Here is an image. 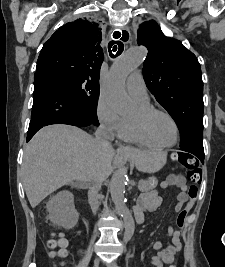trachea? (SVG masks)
Wrapping results in <instances>:
<instances>
[{
  "label": "trachea",
  "instance_id": "1",
  "mask_svg": "<svg viewBox=\"0 0 225 267\" xmlns=\"http://www.w3.org/2000/svg\"><path fill=\"white\" fill-rule=\"evenodd\" d=\"M115 35H116L115 36L116 39L121 37V33L119 31H116ZM127 39H128V33L123 32V36H122L121 40L125 41ZM123 49H124V45L121 41H113L112 40L108 44V50H109L110 56L112 58L119 56L123 52Z\"/></svg>",
  "mask_w": 225,
  "mask_h": 267
}]
</instances>
